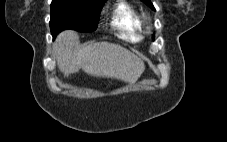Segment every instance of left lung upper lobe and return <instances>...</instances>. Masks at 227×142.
Here are the masks:
<instances>
[{"label": "left lung upper lobe", "instance_id": "obj_1", "mask_svg": "<svg viewBox=\"0 0 227 142\" xmlns=\"http://www.w3.org/2000/svg\"><path fill=\"white\" fill-rule=\"evenodd\" d=\"M145 4H147L150 8H152L153 10H155V8L153 7L152 3L150 2V0H142Z\"/></svg>", "mask_w": 227, "mask_h": 142}]
</instances>
